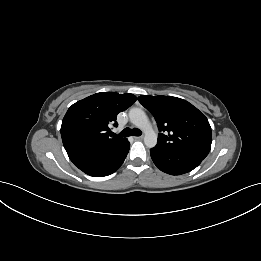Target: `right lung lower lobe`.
<instances>
[{
  "instance_id": "98d812e1",
  "label": "right lung lower lobe",
  "mask_w": 261,
  "mask_h": 261,
  "mask_svg": "<svg viewBox=\"0 0 261 261\" xmlns=\"http://www.w3.org/2000/svg\"><path fill=\"white\" fill-rule=\"evenodd\" d=\"M130 143L116 145H83L66 149L70 160L84 173L93 177H103L114 173L124 162Z\"/></svg>"
}]
</instances>
